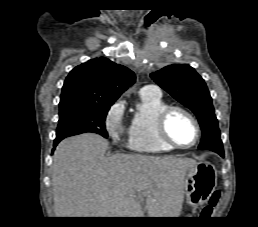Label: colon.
<instances>
[{
  "label": "colon",
  "instance_id": "obj_1",
  "mask_svg": "<svg viewBox=\"0 0 258 227\" xmlns=\"http://www.w3.org/2000/svg\"><path fill=\"white\" fill-rule=\"evenodd\" d=\"M220 199V192L219 191H215L212 193V195L209 198V204L208 206L205 208V210L203 211L204 214H210L211 209L213 206H215L217 204V202Z\"/></svg>",
  "mask_w": 258,
  "mask_h": 227
}]
</instances>
